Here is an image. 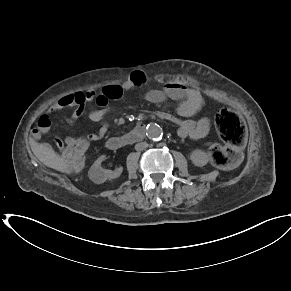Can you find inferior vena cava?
I'll return each mask as SVG.
<instances>
[{
    "instance_id": "1",
    "label": "inferior vena cava",
    "mask_w": 291,
    "mask_h": 291,
    "mask_svg": "<svg viewBox=\"0 0 291 291\" xmlns=\"http://www.w3.org/2000/svg\"><path fill=\"white\" fill-rule=\"evenodd\" d=\"M147 147H148V143H147V142H140V143H137V144L135 145V149H136L137 151L144 150V149H146Z\"/></svg>"
}]
</instances>
